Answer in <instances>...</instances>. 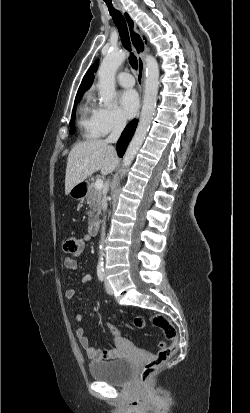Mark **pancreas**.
Masks as SVG:
<instances>
[{
    "label": "pancreas",
    "instance_id": "1",
    "mask_svg": "<svg viewBox=\"0 0 250 413\" xmlns=\"http://www.w3.org/2000/svg\"><path fill=\"white\" fill-rule=\"evenodd\" d=\"M103 191L95 188V183L91 182L88 185L87 204L89 205V223L93 224L101 213Z\"/></svg>",
    "mask_w": 250,
    "mask_h": 413
}]
</instances>
